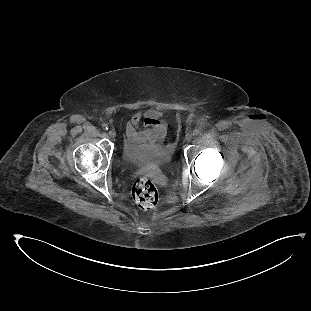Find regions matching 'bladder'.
I'll return each mask as SVG.
<instances>
[{
  "label": "bladder",
  "instance_id": "31cf9c89",
  "mask_svg": "<svg viewBox=\"0 0 311 311\" xmlns=\"http://www.w3.org/2000/svg\"><path fill=\"white\" fill-rule=\"evenodd\" d=\"M172 147L168 143L153 146H134L132 148L122 145L121 157L129 164L136 165L139 171H156L160 167L168 166L172 160Z\"/></svg>",
  "mask_w": 311,
  "mask_h": 311
}]
</instances>
